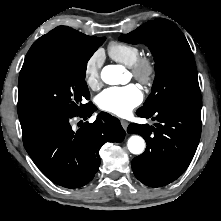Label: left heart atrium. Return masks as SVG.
Returning a JSON list of instances; mask_svg holds the SVG:
<instances>
[{
    "label": "left heart atrium",
    "mask_w": 221,
    "mask_h": 221,
    "mask_svg": "<svg viewBox=\"0 0 221 221\" xmlns=\"http://www.w3.org/2000/svg\"><path fill=\"white\" fill-rule=\"evenodd\" d=\"M142 100V91L135 84L109 87L96 99L100 109L120 117L128 115Z\"/></svg>",
    "instance_id": "39dd6f15"
}]
</instances>
